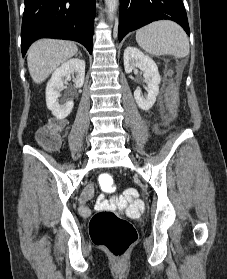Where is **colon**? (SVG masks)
Returning <instances> with one entry per match:
<instances>
[{
	"label": "colon",
	"mask_w": 227,
	"mask_h": 279,
	"mask_svg": "<svg viewBox=\"0 0 227 279\" xmlns=\"http://www.w3.org/2000/svg\"><path fill=\"white\" fill-rule=\"evenodd\" d=\"M61 121L51 122L37 132V141L48 151H55L61 143ZM116 179L109 174L100 177L99 184L104 191L116 186ZM128 198L135 195L134 190L125 192ZM90 235L93 240L103 245L109 253L116 257H123L137 237L136 230L130 222L111 210L95 213L90 223Z\"/></svg>",
	"instance_id": "colon-1"
}]
</instances>
